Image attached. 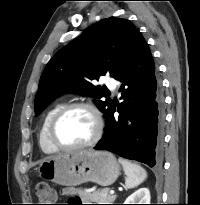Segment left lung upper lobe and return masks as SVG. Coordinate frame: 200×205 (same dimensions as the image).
<instances>
[{"instance_id": "left-lung-upper-lobe-1", "label": "left lung upper lobe", "mask_w": 200, "mask_h": 205, "mask_svg": "<svg viewBox=\"0 0 200 205\" xmlns=\"http://www.w3.org/2000/svg\"><path fill=\"white\" fill-rule=\"evenodd\" d=\"M137 32L129 20L107 18L59 50L41 75L34 102L35 113L43 111L58 95L75 92L94 98L106 118L113 101L110 98L101 100L105 97L104 90L91 81L106 74L114 77Z\"/></svg>"}]
</instances>
